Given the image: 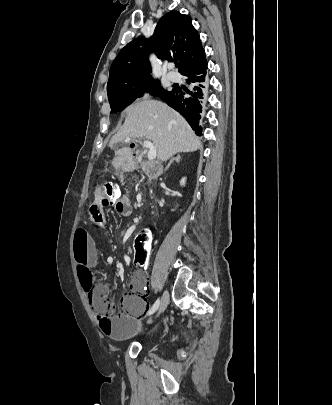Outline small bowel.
Listing matches in <instances>:
<instances>
[{
	"label": "small bowel",
	"mask_w": 332,
	"mask_h": 405,
	"mask_svg": "<svg viewBox=\"0 0 332 405\" xmlns=\"http://www.w3.org/2000/svg\"><path fill=\"white\" fill-rule=\"evenodd\" d=\"M121 161L122 167L125 170H131L136 167L134 159L130 156L122 158ZM117 176L121 179L124 175L120 172ZM120 196L121 197H118L116 202H114L113 209L121 216L128 217L133 212L132 198L122 193ZM96 197L98 199H103L105 197V192L103 190H98L96 192ZM97 198H95L87 213L89 217H92L95 224L102 226L105 222L103 212L104 207L100 204ZM95 217H100L101 222H98ZM137 223L138 221H134V225ZM130 252L131 251H128L124 255V261L127 264L132 262ZM73 253L79 278V290L81 292H93L96 280L92 268L96 264L97 249L93 238L83 228H78L75 231ZM114 264L115 261L113 259L111 261L108 260V265ZM146 285L147 278L144 271L139 270L135 272L129 280L131 293L123 300V307L126 313L108 317L105 311H100L98 313L97 325L100 326L102 332L106 336L114 340H122L138 331L140 328L139 318L147 310V302L145 298Z\"/></svg>",
	"instance_id": "obj_1"
}]
</instances>
